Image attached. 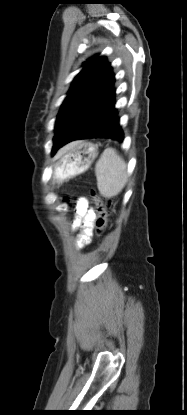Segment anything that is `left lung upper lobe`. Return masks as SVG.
<instances>
[{
	"label": "left lung upper lobe",
	"instance_id": "5c2ea615",
	"mask_svg": "<svg viewBox=\"0 0 187 415\" xmlns=\"http://www.w3.org/2000/svg\"><path fill=\"white\" fill-rule=\"evenodd\" d=\"M107 64L106 58L98 57V55L83 63V68L74 78L68 96L64 100L58 113L55 125L56 134L54 136L53 152L58 148L64 133L78 115L91 87L99 78Z\"/></svg>",
	"mask_w": 187,
	"mask_h": 415
}]
</instances>
